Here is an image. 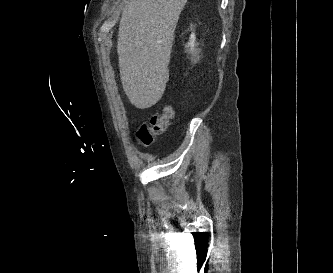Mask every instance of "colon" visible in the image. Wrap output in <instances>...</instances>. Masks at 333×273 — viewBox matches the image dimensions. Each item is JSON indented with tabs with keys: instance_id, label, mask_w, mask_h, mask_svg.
I'll return each instance as SVG.
<instances>
[{
	"instance_id": "5ec220e1",
	"label": "colon",
	"mask_w": 333,
	"mask_h": 273,
	"mask_svg": "<svg viewBox=\"0 0 333 273\" xmlns=\"http://www.w3.org/2000/svg\"><path fill=\"white\" fill-rule=\"evenodd\" d=\"M173 109L164 106L154 114L148 122L139 127L136 132L138 141L145 146L152 144L157 136L164 134L173 118Z\"/></svg>"
}]
</instances>
